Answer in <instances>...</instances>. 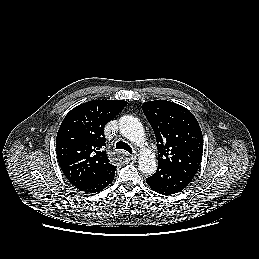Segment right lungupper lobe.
I'll list each match as a JSON object with an SVG mask.
<instances>
[{
	"instance_id": "cb5924a9",
	"label": "right lung upper lobe",
	"mask_w": 259,
	"mask_h": 259,
	"mask_svg": "<svg viewBox=\"0 0 259 259\" xmlns=\"http://www.w3.org/2000/svg\"><path fill=\"white\" fill-rule=\"evenodd\" d=\"M126 105L124 100H92L65 116L56 137V153L72 185L77 187L94 181L116 168L104 150V127Z\"/></svg>"
}]
</instances>
